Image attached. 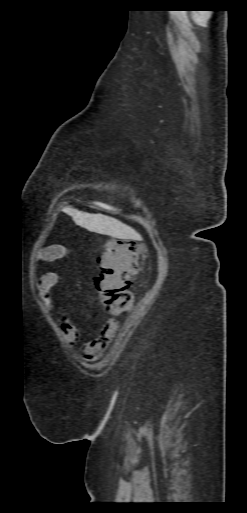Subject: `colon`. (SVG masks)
I'll return each mask as SVG.
<instances>
[{
	"instance_id": "5ec220e1",
	"label": "colon",
	"mask_w": 247,
	"mask_h": 513,
	"mask_svg": "<svg viewBox=\"0 0 247 513\" xmlns=\"http://www.w3.org/2000/svg\"><path fill=\"white\" fill-rule=\"evenodd\" d=\"M138 245L129 240H112L101 251L96 289L102 307L111 313L127 310L133 300L131 284L138 273Z\"/></svg>"
}]
</instances>
